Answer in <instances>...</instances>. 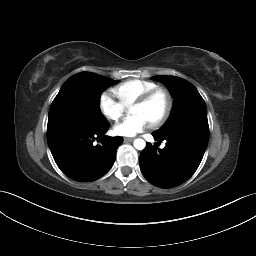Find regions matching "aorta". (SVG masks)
Masks as SVG:
<instances>
[{"mask_svg": "<svg viewBox=\"0 0 256 256\" xmlns=\"http://www.w3.org/2000/svg\"><path fill=\"white\" fill-rule=\"evenodd\" d=\"M133 145L137 150H143L146 146V142L141 138H137L134 140Z\"/></svg>", "mask_w": 256, "mask_h": 256, "instance_id": "obj_1", "label": "aorta"}]
</instances>
